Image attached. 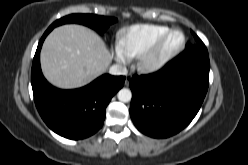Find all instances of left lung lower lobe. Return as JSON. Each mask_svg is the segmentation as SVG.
I'll list each match as a JSON object with an SVG mask.
<instances>
[{
	"instance_id": "0a47b994",
	"label": "left lung lower lobe",
	"mask_w": 248,
	"mask_h": 165,
	"mask_svg": "<svg viewBox=\"0 0 248 165\" xmlns=\"http://www.w3.org/2000/svg\"><path fill=\"white\" fill-rule=\"evenodd\" d=\"M205 45H194L158 72L133 76L130 116L143 134L167 138L196 116L209 85Z\"/></svg>"
}]
</instances>
